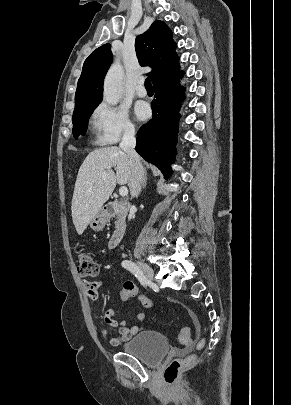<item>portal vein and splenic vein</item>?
<instances>
[{
  "label": "portal vein and splenic vein",
  "mask_w": 291,
  "mask_h": 405,
  "mask_svg": "<svg viewBox=\"0 0 291 405\" xmlns=\"http://www.w3.org/2000/svg\"><path fill=\"white\" fill-rule=\"evenodd\" d=\"M119 194H120V196H122V197L127 196V194H128V189H127V187L122 186V187L119 189Z\"/></svg>",
  "instance_id": "18ae733b"
}]
</instances>
